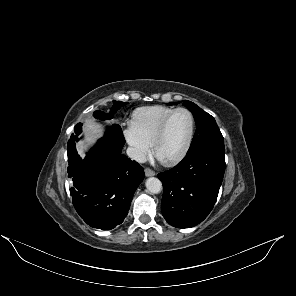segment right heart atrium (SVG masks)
Listing matches in <instances>:
<instances>
[{
	"instance_id": "1",
	"label": "right heart atrium",
	"mask_w": 296,
	"mask_h": 296,
	"mask_svg": "<svg viewBox=\"0 0 296 296\" xmlns=\"http://www.w3.org/2000/svg\"><path fill=\"white\" fill-rule=\"evenodd\" d=\"M124 137L130 146L133 158L137 161L144 160L150 151V146L140 139L131 128L124 130Z\"/></svg>"
}]
</instances>
